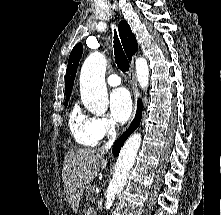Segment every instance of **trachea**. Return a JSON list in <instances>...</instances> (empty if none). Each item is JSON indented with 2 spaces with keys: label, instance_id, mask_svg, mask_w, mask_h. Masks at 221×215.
Instances as JSON below:
<instances>
[{
  "label": "trachea",
  "instance_id": "obj_1",
  "mask_svg": "<svg viewBox=\"0 0 221 215\" xmlns=\"http://www.w3.org/2000/svg\"><path fill=\"white\" fill-rule=\"evenodd\" d=\"M114 55L118 68L126 73L129 70V61L122 49L116 32L114 33Z\"/></svg>",
  "mask_w": 221,
  "mask_h": 215
}]
</instances>
